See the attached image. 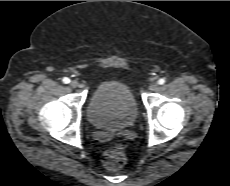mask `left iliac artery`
Instances as JSON below:
<instances>
[{
    "label": "left iliac artery",
    "instance_id": "left-iliac-artery-1",
    "mask_svg": "<svg viewBox=\"0 0 230 186\" xmlns=\"http://www.w3.org/2000/svg\"><path fill=\"white\" fill-rule=\"evenodd\" d=\"M165 83V79L161 78L158 80V84L163 85Z\"/></svg>",
    "mask_w": 230,
    "mask_h": 186
}]
</instances>
